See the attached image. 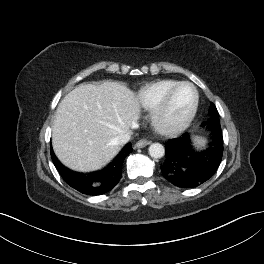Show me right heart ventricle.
Masks as SVG:
<instances>
[{
  "instance_id": "e07e8e85",
  "label": "right heart ventricle",
  "mask_w": 264,
  "mask_h": 264,
  "mask_svg": "<svg viewBox=\"0 0 264 264\" xmlns=\"http://www.w3.org/2000/svg\"><path fill=\"white\" fill-rule=\"evenodd\" d=\"M176 83V80L164 79L143 86L137 93L139 104L145 110H153Z\"/></svg>"
}]
</instances>
